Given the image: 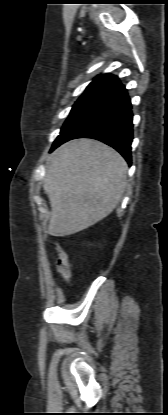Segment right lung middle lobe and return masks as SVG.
Instances as JSON below:
<instances>
[{"mask_svg": "<svg viewBox=\"0 0 168 415\" xmlns=\"http://www.w3.org/2000/svg\"><path fill=\"white\" fill-rule=\"evenodd\" d=\"M98 97L97 94H92V93H83L80 98L76 101V103L73 105L72 110L70 112V115L68 117V119L66 120V122L73 116L75 115L81 108H83L86 104H88L89 102H91L92 100L96 99ZM65 122V123H66ZM64 123V124H65Z\"/></svg>", "mask_w": 168, "mask_h": 415, "instance_id": "dd1d6c3e", "label": "right lung middle lobe"}]
</instances>
